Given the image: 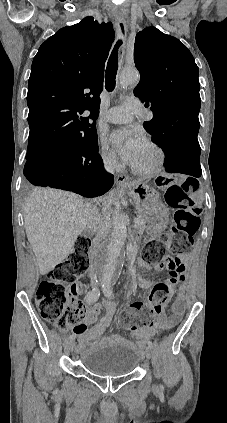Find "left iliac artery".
Listing matches in <instances>:
<instances>
[{
  "instance_id": "obj_1",
  "label": "left iliac artery",
  "mask_w": 227,
  "mask_h": 423,
  "mask_svg": "<svg viewBox=\"0 0 227 423\" xmlns=\"http://www.w3.org/2000/svg\"><path fill=\"white\" fill-rule=\"evenodd\" d=\"M102 288H103V293H104V295L106 297L112 298L114 296L113 295L112 283L111 282H105V283H103ZM148 346H150V347L153 348L152 342L148 341ZM159 388H160V390H164L163 385H160Z\"/></svg>"
}]
</instances>
